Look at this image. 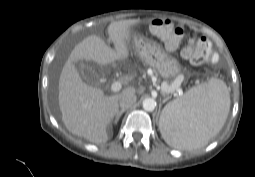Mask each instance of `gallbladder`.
Returning a JSON list of instances; mask_svg holds the SVG:
<instances>
[{
    "mask_svg": "<svg viewBox=\"0 0 255 177\" xmlns=\"http://www.w3.org/2000/svg\"><path fill=\"white\" fill-rule=\"evenodd\" d=\"M77 66L79 68L81 76L87 83L94 85V86L98 85L99 76L95 73V71L92 69V67H90L82 62H78Z\"/></svg>",
    "mask_w": 255,
    "mask_h": 177,
    "instance_id": "1",
    "label": "gallbladder"
}]
</instances>
